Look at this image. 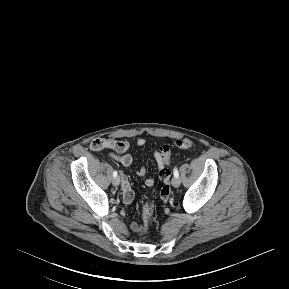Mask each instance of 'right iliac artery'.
Instances as JSON below:
<instances>
[{
  "label": "right iliac artery",
  "instance_id": "82829eb1",
  "mask_svg": "<svg viewBox=\"0 0 289 289\" xmlns=\"http://www.w3.org/2000/svg\"><path fill=\"white\" fill-rule=\"evenodd\" d=\"M117 174H118L117 171H114L113 172V177H117Z\"/></svg>",
  "mask_w": 289,
  "mask_h": 289
}]
</instances>
